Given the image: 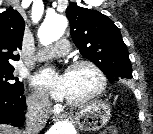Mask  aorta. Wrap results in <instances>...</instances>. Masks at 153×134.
Segmentation results:
<instances>
[{
  "mask_svg": "<svg viewBox=\"0 0 153 134\" xmlns=\"http://www.w3.org/2000/svg\"><path fill=\"white\" fill-rule=\"evenodd\" d=\"M67 27V19L60 14L48 16L38 31V37L41 44L47 46L58 40L65 32ZM49 134H76L74 126L67 121H60L54 124Z\"/></svg>",
  "mask_w": 153,
  "mask_h": 134,
  "instance_id": "1",
  "label": "aorta"
}]
</instances>
